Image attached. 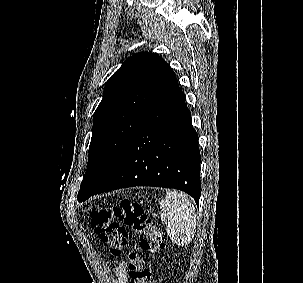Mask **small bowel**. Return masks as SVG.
<instances>
[{
    "instance_id": "1",
    "label": "small bowel",
    "mask_w": 303,
    "mask_h": 283,
    "mask_svg": "<svg viewBox=\"0 0 303 283\" xmlns=\"http://www.w3.org/2000/svg\"><path fill=\"white\" fill-rule=\"evenodd\" d=\"M117 283H127V263L121 262L117 265L115 270Z\"/></svg>"
}]
</instances>
